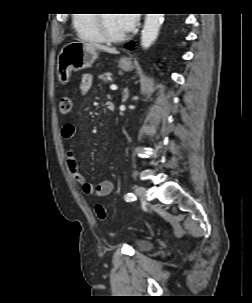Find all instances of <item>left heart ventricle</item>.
I'll use <instances>...</instances> for the list:
<instances>
[{
  "label": "left heart ventricle",
  "mask_w": 252,
  "mask_h": 303,
  "mask_svg": "<svg viewBox=\"0 0 252 303\" xmlns=\"http://www.w3.org/2000/svg\"><path fill=\"white\" fill-rule=\"evenodd\" d=\"M105 27L114 35L126 33L118 14H105Z\"/></svg>",
  "instance_id": "left-heart-ventricle-1"
}]
</instances>
